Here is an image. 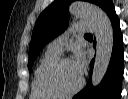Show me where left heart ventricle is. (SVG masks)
<instances>
[{
    "label": "left heart ventricle",
    "instance_id": "1",
    "mask_svg": "<svg viewBox=\"0 0 128 99\" xmlns=\"http://www.w3.org/2000/svg\"><path fill=\"white\" fill-rule=\"evenodd\" d=\"M81 80V75L72 61L64 62L51 76V83L63 91L74 89Z\"/></svg>",
    "mask_w": 128,
    "mask_h": 99
}]
</instances>
